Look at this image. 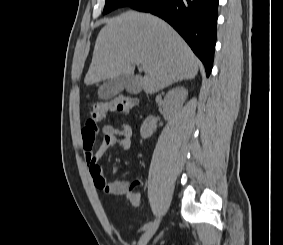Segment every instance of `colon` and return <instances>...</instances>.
Returning <instances> with one entry per match:
<instances>
[{
  "label": "colon",
  "mask_w": 283,
  "mask_h": 245,
  "mask_svg": "<svg viewBox=\"0 0 283 245\" xmlns=\"http://www.w3.org/2000/svg\"><path fill=\"white\" fill-rule=\"evenodd\" d=\"M137 104V100L127 96H117L110 100L95 101L91 103L89 109V120L101 121L107 112H116L124 115L129 113ZM125 196L133 206H139L141 197L138 192L134 191L133 186L129 185L126 189Z\"/></svg>",
  "instance_id": "obj_1"
}]
</instances>
